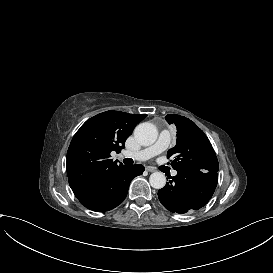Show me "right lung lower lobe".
Listing matches in <instances>:
<instances>
[{
    "instance_id": "1",
    "label": "right lung lower lobe",
    "mask_w": 273,
    "mask_h": 273,
    "mask_svg": "<svg viewBox=\"0 0 273 273\" xmlns=\"http://www.w3.org/2000/svg\"><path fill=\"white\" fill-rule=\"evenodd\" d=\"M144 171L142 165L121 166L110 172L93 189L77 197L83 206L104 212L121 204L125 199L131 180Z\"/></svg>"
}]
</instances>
